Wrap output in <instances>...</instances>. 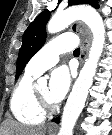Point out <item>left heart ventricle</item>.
Wrapping results in <instances>:
<instances>
[{"instance_id": "left-heart-ventricle-1", "label": "left heart ventricle", "mask_w": 112, "mask_h": 135, "mask_svg": "<svg viewBox=\"0 0 112 135\" xmlns=\"http://www.w3.org/2000/svg\"><path fill=\"white\" fill-rule=\"evenodd\" d=\"M37 91L43 98L52 102V100L49 97V86L47 84L38 87Z\"/></svg>"}]
</instances>
